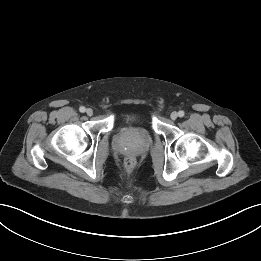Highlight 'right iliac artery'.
I'll return each mask as SVG.
<instances>
[{
	"mask_svg": "<svg viewBox=\"0 0 261 261\" xmlns=\"http://www.w3.org/2000/svg\"><path fill=\"white\" fill-rule=\"evenodd\" d=\"M79 110H80V112L84 113L86 109H85L84 106H81V107L79 108Z\"/></svg>",
	"mask_w": 261,
	"mask_h": 261,
	"instance_id": "right-iliac-artery-1",
	"label": "right iliac artery"
}]
</instances>
